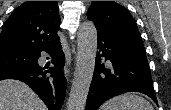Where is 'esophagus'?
Segmentation results:
<instances>
[{"label":"esophagus","mask_w":171,"mask_h":110,"mask_svg":"<svg viewBox=\"0 0 171 110\" xmlns=\"http://www.w3.org/2000/svg\"><path fill=\"white\" fill-rule=\"evenodd\" d=\"M64 73H65V76L68 77L69 76V69L65 67Z\"/></svg>","instance_id":"34e87169"}]
</instances>
